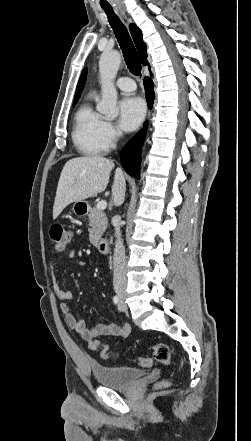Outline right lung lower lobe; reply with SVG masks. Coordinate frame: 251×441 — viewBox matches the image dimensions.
Returning a JSON list of instances; mask_svg holds the SVG:
<instances>
[{
  "mask_svg": "<svg viewBox=\"0 0 251 441\" xmlns=\"http://www.w3.org/2000/svg\"><path fill=\"white\" fill-rule=\"evenodd\" d=\"M144 87L147 103L149 107H152L154 101V85L151 78L145 77ZM145 128L146 125L144 126V129L139 131L133 138L129 140V142L120 152V159L124 169L129 175L135 178H139V165L141 162L140 155L145 136Z\"/></svg>",
  "mask_w": 251,
  "mask_h": 441,
  "instance_id": "right-lung-lower-lobe-1",
  "label": "right lung lower lobe"
}]
</instances>
